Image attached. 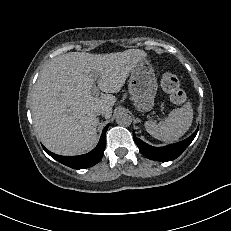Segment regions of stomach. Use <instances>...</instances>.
Segmentation results:
<instances>
[{"label":"stomach","instance_id":"1","mask_svg":"<svg viewBox=\"0 0 231 231\" xmlns=\"http://www.w3.org/2000/svg\"><path fill=\"white\" fill-rule=\"evenodd\" d=\"M128 89L138 111L148 112L153 109L158 84L154 69L147 59L139 61L131 71Z\"/></svg>","mask_w":231,"mask_h":231}]
</instances>
